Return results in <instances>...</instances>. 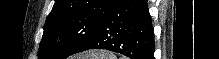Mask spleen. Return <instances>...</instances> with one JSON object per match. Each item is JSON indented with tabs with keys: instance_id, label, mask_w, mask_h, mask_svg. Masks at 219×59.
<instances>
[{
	"instance_id": "obj_1",
	"label": "spleen",
	"mask_w": 219,
	"mask_h": 59,
	"mask_svg": "<svg viewBox=\"0 0 219 59\" xmlns=\"http://www.w3.org/2000/svg\"><path fill=\"white\" fill-rule=\"evenodd\" d=\"M88 57H90V59H108L107 57H106V55H104V54H96V53H93V52H89V53H86L85 54V58H87L88 59ZM113 58V57H112ZM111 59V58H110Z\"/></svg>"
}]
</instances>
